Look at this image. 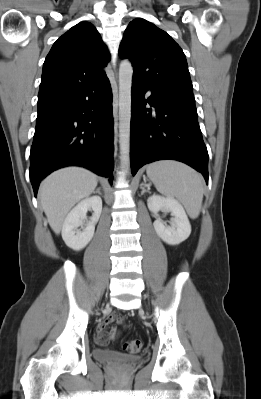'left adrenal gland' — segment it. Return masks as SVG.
Masks as SVG:
<instances>
[{
  "label": "left adrenal gland",
  "instance_id": "1",
  "mask_svg": "<svg viewBox=\"0 0 261 399\" xmlns=\"http://www.w3.org/2000/svg\"><path fill=\"white\" fill-rule=\"evenodd\" d=\"M140 188L142 189V192H141L142 194L144 192H150V186L147 185L146 183H142ZM145 188H147V189H145Z\"/></svg>",
  "mask_w": 261,
  "mask_h": 399
}]
</instances>
